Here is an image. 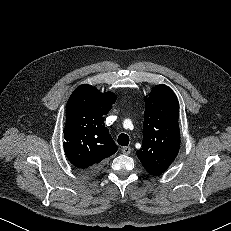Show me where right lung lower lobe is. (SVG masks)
Instances as JSON below:
<instances>
[{"instance_id":"right-lung-lower-lobe-1","label":"right lung lower lobe","mask_w":231,"mask_h":231,"mask_svg":"<svg viewBox=\"0 0 231 231\" xmlns=\"http://www.w3.org/2000/svg\"><path fill=\"white\" fill-rule=\"evenodd\" d=\"M98 169H99V167H94V168H91V169L83 171V172H85L87 174H92V173L96 172Z\"/></svg>"}]
</instances>
